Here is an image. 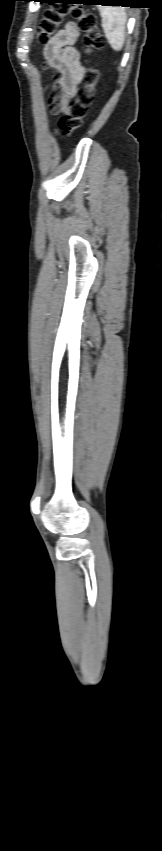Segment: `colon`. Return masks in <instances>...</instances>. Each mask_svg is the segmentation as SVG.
<instances>
[{"instance_id":"5ec220e1","label":"colon","mask_w":162,"mask_h":851,"mask_svg":"<svg viewBox=\"0 0 162 851\" xmlns=\"http://www.w3.org/2000/svg\"><path fill=\"white\" fill-rule=\"evenodd\" d=\"M70 15L77 20L79 29L83 32L84 51L91 54L105 45L96 17L79 6L56 4L46 9L38 28L39 44H46L54 36L65 16ZM98 79V71L87 68L81 86L77 89L75 98L68 104L67 112L60 118L58 126L64 136L72 135L82 125L88 108L93 102L94 86Z\"/></svg>"}]
</instances>
